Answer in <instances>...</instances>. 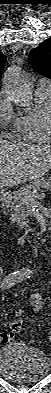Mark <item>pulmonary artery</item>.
<instances>
[{
    "mask_svg": "<svg viewBox=\"0 0 51 393\" xmlns=\"http://www.w3.org/2000/svg\"><path fill=\"white\" fill-rule=\"evenodd\" d=\"M38 87L49 89L50 88V83L48 81H46L45 79H41L38 82Z\"/></svg>",
    "mask_w": 51,
    "mask_h": 393,
    "instance_id": "pulmonary-artery-1",
    "label": "pulmonary artery"
}]
</instances>
